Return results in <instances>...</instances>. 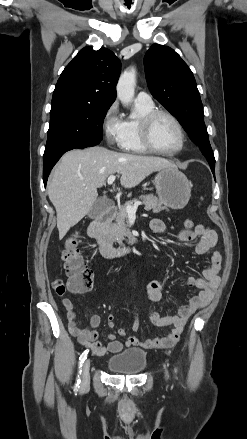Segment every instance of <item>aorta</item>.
Wrapping results in <instances>:
<instances>
[{
    "instance_id": "762f6f07",
    "label": "aorta",
    "mask_w": 247,
    "mask_h": 439,
    "mask_svg": "<svg viewBox=\"0 0 247 439\" xmlns=\"http://www.w3.org/2000/svg\"><path fill=\"white\" fill-rule=\"evenodd\" d=\"M136 85V70L134 67H130L125 70L117 84V97L123 105H128L134 97Z\"/></svg>"
}]
</instances>
